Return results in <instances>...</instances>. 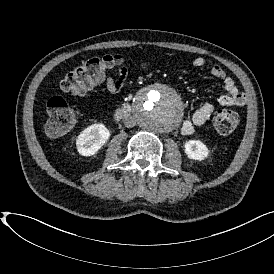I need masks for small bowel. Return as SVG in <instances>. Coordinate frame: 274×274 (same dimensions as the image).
Listing matches in <instances>:
<instances>
[{
    "label": "small bowel",
    "instance_id": "small-bowel-1",
    "mask_svg": "<svg viewBox=\"0 0 274 274\" xmlns=\"http://www.w3.org/2000/svg\"><path fill=\"white\" fill-rule=\"evenodd\" d=\"M150 63H144L135 68H144L149 66ZM192 65L195 68H201L206 65V59L203 57H196L192 61ZM211 74L220 79L223 83V87L226 91L218 99V103L221 106H243L246 104V94L238 88L234 79L229 76L226 71L219 65H213L210 70ZM129 75V69L127 67H120L117 70L116 77L102 73L99 77L92 79L91 81L81 84L74 88L73 93L77 97L87 95L90 92L98 89L105 84V88L111 93L119 92L126 84ZM215 109V106L211 103H205L200 106L194 114L184 120L181 131L184 135H191L195 131L196 127L202 126L211 117Z\"/></svg>",
    "mask_w": 274,
    "mask_h": 274
}]
</instances>
